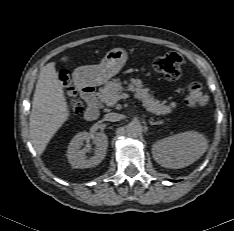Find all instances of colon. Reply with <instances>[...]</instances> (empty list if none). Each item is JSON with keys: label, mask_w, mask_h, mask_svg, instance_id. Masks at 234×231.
<instances>
[{"label": "colon", "mask_w": 234, "mask_h": 231, "mask_svg": "<svg viewBox=\"0 0 234 231\" xmlns=\"http://www.w3.org/2000/svg\"><path fill=\"white\" fill-rule=\"evenodd\" d=\"M182 58L177 53H166L153 61V68L170 80L178 79L181 74ZM65 95L69 110L73 116L82 112V105L77 92L72 87L65 88ZM185 105L192 109L203 108L208 103V97L199 84H191L184 99Z\"/></svg>", "instance_id": "5ec220e1"}]
</instances>
